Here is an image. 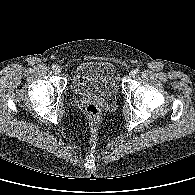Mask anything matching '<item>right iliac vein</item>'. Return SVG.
I'll return each instance as SVG.
<instances>
[{"label": "right iliac vein", "mask_w": 195, "mask_h": 195, "mask_svg": "<svg viewBox=\"0 0 195 195\" xmlns=\"http://www.w3.org/2000/svg\"><path fill=\"white\" fill-rule=\"evenodd\" d=\"M61 71H62V70H61V68H60V67H56V68H55V72H56L57 74H60V73H61Z\"/></svg>", "instance_id": "right-iliac-vein-1"}]
</instances>
